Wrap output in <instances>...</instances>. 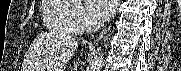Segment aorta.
Wrapping results in <instances>:
<instances>
[{"label": "aorta", "instance_id": "1", "mask_svg": "<svg viewBox=\"0 0 181 71\" xmlns=\"http://www.w3.org/2000/svg\"><path fill=\"white\" fill-rule=\"evenodd\" d=\"M104 65V55L103 53H99L94 57V59L90 62L87 71H101Z\"/></svg>", "mask_w": 181, "mask_h": 71}]
</instances>
